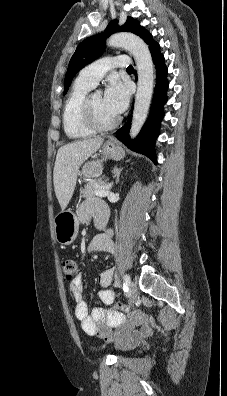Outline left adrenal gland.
Listing matches in <instances>:
<instances>
[{
    "label": "left adrenal gland",
    "instance_id": "left-adrenal-gland-1",
    "mask_svg": "<svg viewBox=\"0 0 227 396\" xmlns=\"http://www.w3.org/2000/svg\"><path fill=\"white\" fill-rule=\"evenodd\" d=\"M121 171H122V168L121 169L115 168L116 184L119 183V176H120Z\"/></svg>",
    "mask_w": 227,
    "mask_h": 396
}]
</instances>
